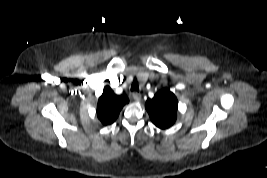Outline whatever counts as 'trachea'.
<instances>
[{"mask_svg": "<svg viewBox=\"0 0 267 178\" xmlns=\"http://www.w3.org/2000/svg\"><path fill=\"white\" fill-rule=\"evenodd\" d=\"M131 91H139V86L137 82H133V84L131 85Z\"/></svg>", "mask_w": 267, "mask_h": 178, "instance_id": "obj_1", "label": "trachea"}]
</instances>
